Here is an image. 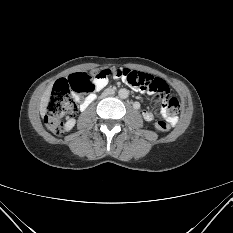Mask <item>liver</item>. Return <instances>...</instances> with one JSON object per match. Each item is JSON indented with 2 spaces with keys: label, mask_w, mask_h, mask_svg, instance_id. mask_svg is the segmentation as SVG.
<instances>
[{
  "label": "liver",
  "mask_w": 233,
  "mask_h": 233,
  "mask_svg": "<svg viewBox=\"0 0 233 233\" xmlns=\"http://www.w3.org/2000/svg\"><path fill=\"white\" fill-rule=\"evenodd\" d=\"M51 90H52V84H50L47 89L45 90V92L43 93L41 100H40V114L41 116H44L46 114V110H47V106H48V102L50 99V95H51Z\"/></svg>",
  "instance_id": "obj_1"
}]
</instances>
